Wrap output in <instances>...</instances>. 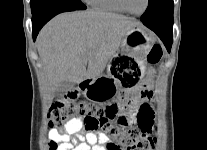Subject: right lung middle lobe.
Masks as SVG:
<instances>
[{
    "instance_id": "right-lung-middle-lobe-1",
    "label": "right lung middle lobe",
    "mask_w": 207,
    "mask_h": 150,
    "mask_svg": "<svg viewBox=\"0 0 207 150\" xmlns=\"http://www.w3.org/2000/svg\"><path fill=\"white\" fill-rule=\"evenodd\" d=\"M32 15H36L53 6H66L74 10L86 9L80 0H30Z\"/></svg>"
}]
</instances>
